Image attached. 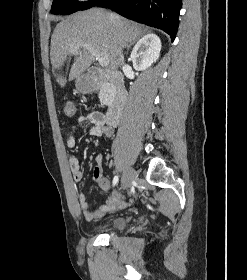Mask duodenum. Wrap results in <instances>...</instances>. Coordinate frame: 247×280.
Returning <instances> with one entry per match:
<instances>
[{
	"mask_svg": "<svg viewBox=\"0 0 247 280\" xmlns=\"http://www.w3.org/2000/svg\"><path fill=\"white\" fill-rule=\"evenodd\" d=\"M106 82L112 85V98L106 113V120L109 125L115 126L119 123L127 98L121 75L108 73L98 68H90L87 72L85 88L89 91H94Z\"/></svg>",
	"mask_w": 247,
	"mask_h": 280,
	"instance_id": "duodenum-1",
	"label": "duodenum"
}]
</instances>
